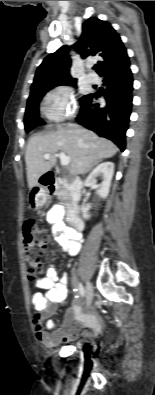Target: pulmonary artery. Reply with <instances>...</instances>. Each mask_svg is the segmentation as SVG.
I'll return each instance as SVG.
<instances>
[{
    "mask_svg": "<svg viewBox=\"0 0 155 395\" xmlns=\"http://www.w3.org/2000/svg\"><path fill=\"white\" fill-rule=\"evenodd\" d=\"M86 79H87V81H88L89 83H97L98 80H99L98 76H97L96 74H93V73H89V74L86 76Z\"/></svg>",
    "mask_w": 155,
    "mask_h": 395,
    "instance_id": "pulmonary-artery-1",
    "label": "pulmonary artery"
}]
</instances>
